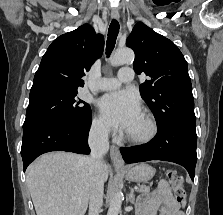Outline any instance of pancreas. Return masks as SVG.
<instances>
[{
	"label": "pancreas",
	"instance_id": "1",
	"mask_svg": "<svg viewBox=\"0 0 223 215\" xmlns=\"http://www.w3.org/2000/svg\"><path fill=\"white\" fill-rule=\"evenodd\" d=\"M137 191H150V185H140V189Z\"/></svg>",
	"mask_w": 223,
	"mask_h": 215
}]
</instances>
